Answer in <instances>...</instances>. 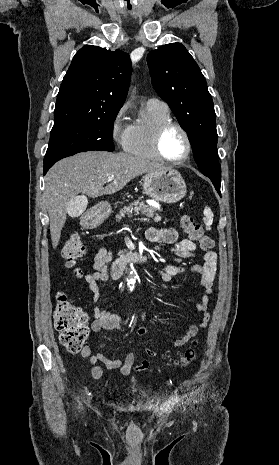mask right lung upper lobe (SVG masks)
<instances>
[{"label": "right lung upper lobe", "instance_id": "cb5924a9", "mask_svg": "<svg viewBox=\"0 0 279 465\" xmlns=\"http://www.w3.org/2000/svg\"><path fill=\"white\" fill-rule=\"evenodd\" d=\"M131 76L127 53L86 45L74 56L63 78L54 111V125L99 118L119 110Z\"/></svg>", "mask_w": 279, "mask_h": 465}]
</instances>
